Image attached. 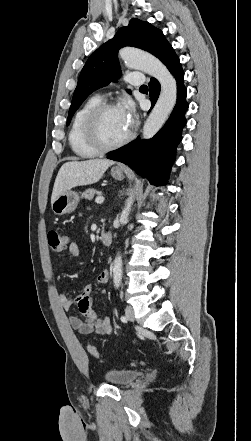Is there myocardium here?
I'll use <instances>...</instances> for the list:
<instances>
[{
  "label": "myocardium",
  "instance_id": "f54148a6",
  "mask_svg": "<svg viewBox=\"0 0 251 441\" xmlns=\"http://www.w3.org/2000/svg\"><path fill=\"white\" fill-rule=\"evenodd\" d=\"M119 108L115 103L103 102L96 106L87 116L85 122V137L91 147L100 153L116 150L127 144L133 138V131L130 130L128 134L120 141L107 144L105 143L99 133V121L101 117L109 110Z\"/></svg>",
  "mask_w": 251,
  "mask_h": 441
}]
</instances>
